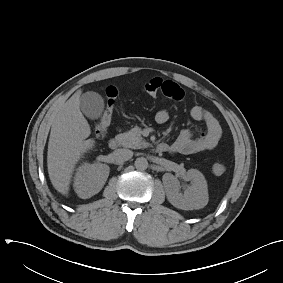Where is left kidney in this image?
<instances>
[{
  "mask_svg": "<svg viewBox=\"0 0 283 283\" xmlns=\"http://www.w3.org/2000/svg\"><path fill=\"white\" fill-rule=\"evenodd\" d=\"M185 176L191 181V186L183 194L179 191L180 182L177 178L171 174L163 176L168 201L176 208L183 210L205 207L208 203V189L203 174L196 169H190Z\"/></svg>",
  "mask_w": 283,
  "mask_h": 283,
  "instance_id": "1",
  "label": "left kidney"
}]
</instances>
